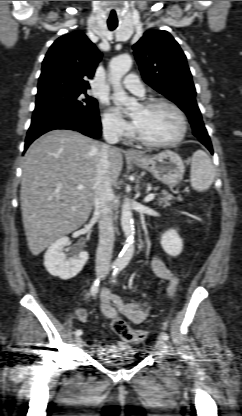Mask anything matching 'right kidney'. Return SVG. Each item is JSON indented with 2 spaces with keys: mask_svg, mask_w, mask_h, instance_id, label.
Returning <instances> with one entry per match:
<instances>
[{
  "mask_svg": "<svg viewBox=\"0 0 242 416\" xmlns=\"http://www.w3.org/2000/svg\"><path fill=\"white\" fill-rule=\"evenodd\" d=\"M69 244V238L63 236L56 240L45 253L44 266L53 276L63 280L75 277L88 260V252L80 251L77 256L66 258L63 248Z\"/></svg>",
  "mask_w": 242,
  "mask_h": 416,
  "instance_id": "right-kidney-1",
  "label": "right kidney"
}]
</instances>
